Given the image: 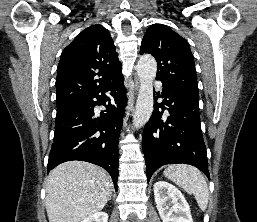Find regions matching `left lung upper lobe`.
<instances>
[{
  "mask_svg": "<svg viewBox=\"0 0 257 222\" xmlns=\"http://www.w3.org/2000/svg\"><path fill=\"white\" fill-rule=\"evenodd\" d=\"M143 53L155 57L157 80L198 98L194 57L184 38L165 25L153 24L142 40L140 54Z\"/></svg>",
  "mask_w": 257,
  "mask_h": 222,
  "instance_id": "left-lung-upper-lobe-1",
  "label": "left lung upper lobe"
}]
</instances>
